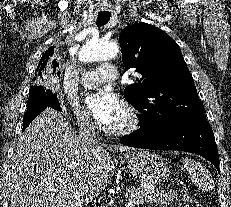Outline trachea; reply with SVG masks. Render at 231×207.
I'll list each match as a JSON object with an SVG mask.
<instances>
[{"mask_svg":"<svg viewBox=\"0 0 231 207\" xmlns=\"http://www.w3.org/2000/svg\"><path fill=\"white\" fill-rule=\"evenodd\" d=\"M110 16H111V14L108 12L98 13L96 24L98 26L105 25L109 21Z\"/></svg>","mask_w":231,"mask_h":207,"instance_id":"1","label":"trachea"}]
</instances>
